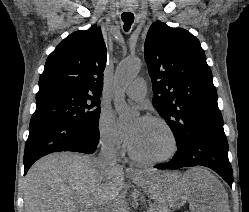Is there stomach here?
<instances>
[{"label": "stomach", "mask_w": 249, "mask_h": 212, "mask_svg": "<svg viewBox=\"0 0 249 212\" xmlns=\"http://www.w3.org/2000/svg\"><path fill=\"white\" fill-rule=\"evenodd\" d=\"M140 180L148 198H169L154 199V204H184V198H189L184 188L188 179H182L178 170H146ZM162 210H186V205H162Z\"/></svg>", "instance_id": "obj_1"}]
</instances>
